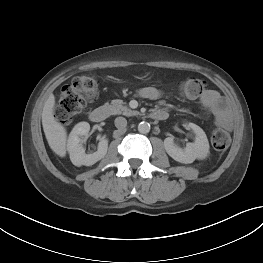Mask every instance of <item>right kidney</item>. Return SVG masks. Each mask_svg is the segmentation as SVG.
I'll list each match as a JSON object with an SVG mask.
<instances>
[{"label": "right kidney", "mask_w": 263, "mask_h": 263, "mask_svg": "<svg viewBox=\"0 0 263 263\" xmlns=\"http://www.w3.org/2000/svg\"><path fill=\"white\" fill-rule=\"evenodd\" d=\"M90 131V125L88 122H80L72 129L67 143V150L70 155V160L75 166H90L97 161L104 158L108 149V140L101 139L98 143V150L92 154H86L83 148L82 141Z\"/></svg>", "instance_id": "ca27d5eb"}]
</instances>
